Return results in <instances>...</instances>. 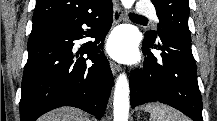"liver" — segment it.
<instances>
[{
	"label": "liver",
	"instance_id": "liver-1",
	"mask_svg": "<svg viewBox=\"0 0 217 121\" xmlns=\"http://www.w3.org/2000/svg\"><path fill=\"white\" fill-rule=\"evenodd\" d=\"M38 121H89L86 114L73 107H61L39 118Z\"/></svg>",
	"mask_w": 217,
	"mask_h": 121
}]
</instances>
